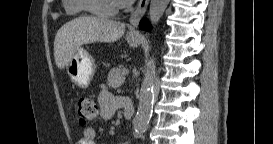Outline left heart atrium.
<instances>
[{"instance_id": "1", "label": "left heart atrium", "mask_w": 273, "mask_h": 144, "mask_svg": "<svg viewBox=\"0 0 273 144\" xmlns=\"http://www.w3.org/2000/svg\"><path fill=\"white\" fill-rule=\"evenodd\" d=\"M114 2L118 7H125L130 5L133 2V0H114Z\"/></svg>"}]
</instances>
